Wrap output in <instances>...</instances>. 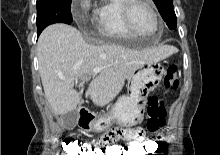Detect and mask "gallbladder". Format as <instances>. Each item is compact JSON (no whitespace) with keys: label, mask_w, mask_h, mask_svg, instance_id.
<instances>
[{"label":"gallbladder","mask_w":220,"mask_h":155,"mask_svg":"<svg viewBox=\"0 0 220 155\" xmlns=\"http://www.w3.org/2000/svg\"><path fill=\"white\" fill-rule=\"evenodd\" d=\"M78 118L77 109H74L63 116L64 124L68 129H73L76 126Z\"/></svg>","instance_id":"obj_1"}]
</instances>
